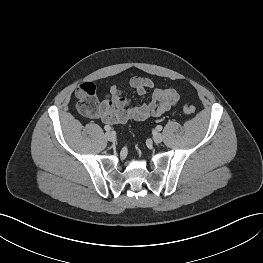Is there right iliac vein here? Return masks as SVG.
I'll return each mask as SVG.
<instances>
[{"label": "right iliac vein", "instance_id": "obj_1", "mask_svg": "<svg viewBox=\"0 0 263 263\" xmlns=\"http://www.w3.org/2000/svg\"><path fill=\"white\" fill-rule=\"evenodd\" d=\"M105 137L108 141H111V142L115 141L116 139L115 134L113 132H107L105 134Z\"/></svg>", "mask_w": 263, "mask_h": 263}]
</instances>
